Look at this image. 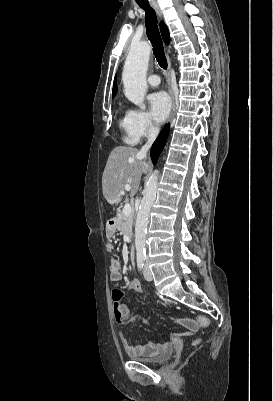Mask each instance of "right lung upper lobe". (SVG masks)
Masks as SVG:
<instances>
[{
    "label": "right lung upper lobe",
    "mask_w": 273,
    "mask_h": 401,
    "mask_svg": "<svg viewBox=\"0 0 273 401\" xmlns=\"http://www.w3.org/2000/svg\"><path fill=\"white\" fill-rule=\"evenodd\" d=\"M160 30H161V34H162L164 42L166 44H168L170 41V36H169L168 28L166 27V25L164 23L160 24ZM115 94H116V77L114 79L112 95L114 96Z\"/></svg>",
    "instance_id": "obj_1"
}]
</instances>
